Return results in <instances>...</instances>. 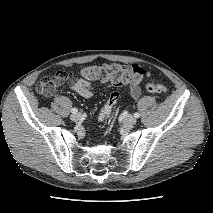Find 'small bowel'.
<instances>
[{"mask_svg": "<svg viewBox=\"0 0 213 213\" xmlns=\"http://www.w3.org/2000/svg\"><path fill=\"white\" fill-rule=\"evenodd\" d=\"M61 83H50L41 93L46 96H52L58 85ZM70 88L83 98H89L95 90L94 85L85 79H75L70 82ZM131 97L137 99L140 96V89L136 86L130 89Z\"/></svg>", "mask_w": 213, "mask_h": 213, "instance_id": "c3829d8e", "label": "small bowel"}]
</instances>
